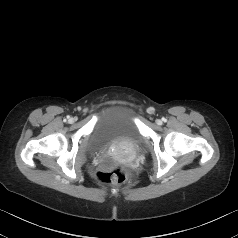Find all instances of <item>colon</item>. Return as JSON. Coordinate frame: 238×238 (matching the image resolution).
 Masks as SVG:
<instances>
[{
  "label": "colon",
  "instance_id": "obj_1",
  "mask_svg": "<svg viewBox=\"0 0 238 238\" xmlns=\"http://www.w3.org/2000/svg\"><path fill=\"white\" fill-rule=\"evenodd\" d=\"M95 177L103 184H121L127 179L128 173L124 167L115 165L99 169Z\"/></svg>",
  "mask_w": 238,
  "mask_h": 238
}]
</instances>
